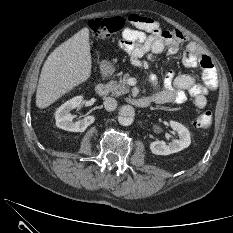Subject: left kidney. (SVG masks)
I'll return each instance as SVG.
<instances>
[{"mask_svg": "<svg viewBox=\"0 0 233 233\" xmlns=\"http://www.w3.org/2000/svg\"><path fill=\"white\" fill-rule=\"evenodd\" d=\"M170 126L179 135V139H173L166 144L164 141H154L150 144V150L155 155H170L177 153L191 144L189 130L179 122L170 121Z\"/></svg>", "mask_w": 233, "mask_h": 233, "instance_id": "1", "label": "left kidney"}]
</instances>
